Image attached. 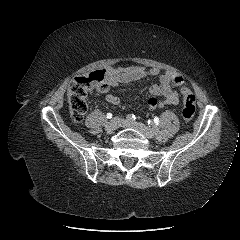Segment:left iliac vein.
Here are the masks:
<instances>
[{"instance_id": "obj_1", "label": "left iliac vein", "mask_w": 240, "mask_h": 240, "mask_svg": "<svg viewBox=\"0 0 240 240\" xmlns=\"http://www.w3.org/2000/svg\"><path fill=\"white\" fill-rule=\"evenodd\" d=\"M122 127L132 128L137 130L139 133L144 135L146 138L151 139L154 137V134L151 132L148 126L140 122H127L124 121L121 125Z\"/></svg>"}]
</instances>
